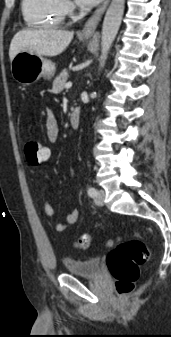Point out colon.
<instances>
[{"mask_svg": "<svg viewBox=\"0 0 171 337\" xmlns=\"http://www.w3.org/2000/svg\"><path fill=\"white\" fill-rule=\"evenodd\" d=\"M24 152L28 163L38 165L48 157L47 146L37 138L30 137L24 145ZM89 234L79 236L74 245L78 249H87L90 246ZM114 242L109 241L108 246ZM148 247L139 239L133 238L119 242L113 246L107 257V267L115 279L116 290L125 295L133 291L139 279V266L149 257Z\"/></svg>", "mask_w": 171, "mask_h": 337, "instance_id": "1", "label": "colon"}]
</instances>
